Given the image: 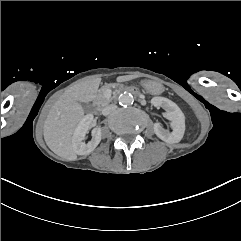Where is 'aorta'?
I'll return each mask as SVG.
<instances>
[{"label": "aorta", "mask_w": 241, "mask_h": 241, "mask_svg": "<svg viewBox=\"0 0 241 241\" xmlns=\"http://www.w3.org/2000/svg\"><path fill=\"white\" fill-rule=\"evenodd\" d=\"M118 101L121 106H129L133 104L134 98L130 93L125 92L119 96Z\"/></svg>", "instance_id": "1"}]
</instances>
